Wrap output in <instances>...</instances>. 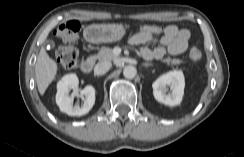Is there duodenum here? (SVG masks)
Here are the masks:
<instances>
[{
	"label": "duodenum",
	"mask_w": 244,
	"mask_h": 157,
	"mask_svg": "<svg viewBox=\"0 0 244 157\" xmlns=\"http://www.w3.org/2000/svg\"><path fill=\"white\" fill-rule=\"evenodd\" d=\"M94 66V60L92 58L85 59L80 64V69L83 73H90Z\"/></svg>",
	"instance_id": "duodenum-1"
}]
</instances>
